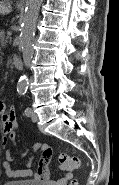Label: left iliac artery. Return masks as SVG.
Listing matches in <instances>:
<instances>
[{
  "label": "left iliac artery",
  "mask_w": 119,
  "mask_h": 185,
  "mask_svg": "<svg viewBox=\"0 0 119 185\" xmlns=\"http://www.w3.org/2000/svg\"><path fill=\"white\" fill-rule=\"evenodd\" d=\"M24 113H25L26 116H30L31 109L29 107L26 108L25 111H24Z\"/></svg>",
  "instance_id": "44dca946"
}]
</instances>
